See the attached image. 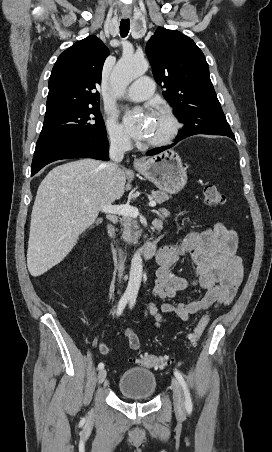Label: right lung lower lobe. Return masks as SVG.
<instances>
[{
    "instance_id": "1",
    "label": "right lung lower lobe",
    "mask_w": 272,
    "mask_h": 452,
    "mask_svg": "<svg viewBox=\"0 0 272 452\" xmlns=\"http://www.w3.org/2000/svg\"><path fill=\"white\" fill-rule=\"evenodd\" d=\"M107 136L100 139L68 137L39 139L31 165V176L45 165L60 159L93 158L108 160Z\"/></svg>"
}]
</instances>
